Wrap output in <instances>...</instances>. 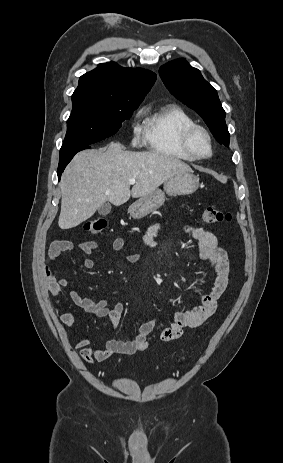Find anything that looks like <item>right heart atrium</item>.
Returning a JSON list of instances; mask_svg holds the SVG:
<instances>
[{"instance_id": "right-heart-atrium-1", "label": "right heart atrium", "mask_w": 283, "mask_h": 463, "mask_svg": "<svg viewBox=\"0 0 283 463\" xmlns=\"http://www.w3.org/2000/svg\"><path fill=\"white\" fill-rule=\"evenodd\" d=\"M140 134H141V127L139 126L138 122L136 121L133 124V143H138Z\"/></svg>"}]
</instances>
